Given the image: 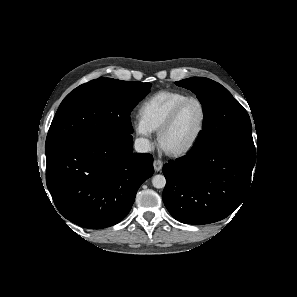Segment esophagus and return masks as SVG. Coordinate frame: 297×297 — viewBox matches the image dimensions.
Listing matches in <instances>:
<instances>
[{
  "mask_svg": "<svg viewBox=\"0 0 297 297\" xmlns=\"http://www.w3.org/2000/svg\"><path fill=\"white\" fill-rule=\"evenodd\" d=\"M153 167H154V170L158 172V171H160L162 169L163 162L161 160H158V159L154 160Z\"/></svg>",
  "mask_w": 297,
  "mask_h": 297,
  "instance_id": "1",
  "label": "esophagus"
}]
</instances>
